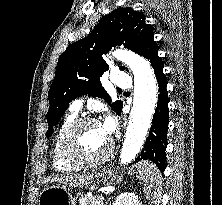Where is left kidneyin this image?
<instances>
[{
	"mask_svg": "<svg viewBox=\"0 0 222 205\" xmlns=\"http://www.w3.org/2000/svg\"><path fill=\"white\" fill-rule=\"evenodd\" d=\"M113 205H142L138 197L131 192H124L120 194Z\"/></svg>",
	"mask_w": 222,
	"mask_h": 205,
	"instance_id": "obj_1",
	"label": "left kidney"
}]
</instances>
